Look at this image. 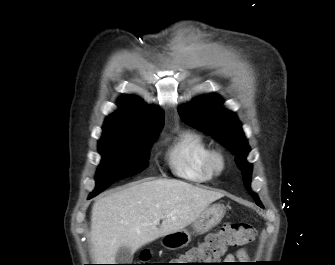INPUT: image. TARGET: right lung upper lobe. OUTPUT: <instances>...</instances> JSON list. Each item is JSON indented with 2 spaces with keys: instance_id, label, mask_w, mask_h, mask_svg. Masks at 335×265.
Instances as JSON below:
<instances>
[{
  "instance_id": "right-lung-upper-lobe-1",
  "label": "right lung upper lobe",
  "mask_w": 335,
  "mask_h": 265,
  "mask_svg": "<svg viewBox=\"0 0 335 265\" xmlns=\"http://www.w3.org/2000/svg\"><path fill=\"white\" fill-rule=\"evenodd\" d=\"M117 102L119 111L106 118L104 133L118 129L162 127L164 115L155 106H148L134 96H122Z\"/></svg>"
}]
</instances>
